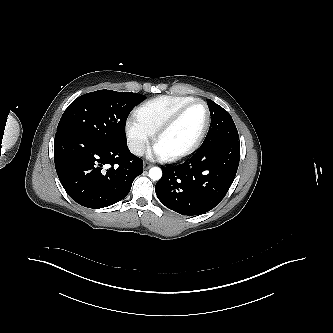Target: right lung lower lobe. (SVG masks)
<instances>
[{
  "instance_id": "obj_1",
  "label": "right lung lower lobe",
  "mask_w": 333,
  "mask_h": 333,
  "mask_svg": "<svg viewBox=\"0 0 333 333\" xmlns=\"http://www.w3.org/2000/svg\"><path fill=\"white\" fill-rule=\"evenodd\" d=\"M54 162L67 194L78 204L98 209L125 198L143 161L126 144H110L74 134L55 135Z\"/></svg>"
}]
</instances>
